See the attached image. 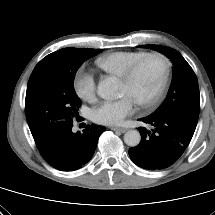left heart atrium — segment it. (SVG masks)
<instances>
[{"mask_svg": "<svg viewBox=\"0 0 215 215\" xmlns=\"http://www.w3.org/2000/svg\"><path fill=\"white\" fill-rule=\"evenodd\" d=\"M135 109V101L129 95H123L117 100L104 101L92 112L96 123L103 125H119L131 115Z\"/></svg>", "mask_w": 215, "mask_h": 215, "instance_id": "obj_1", "label": "left heart atrium"}]
</instances>
